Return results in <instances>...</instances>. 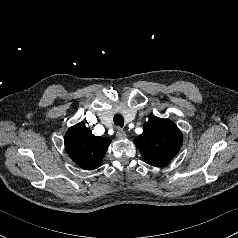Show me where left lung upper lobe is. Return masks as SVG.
I'll return each mask as SVG.
<instances>
[{"label":"left lung upper lobe","instance_id":"5c2ea615","mask_svg":"<svg viewBox=\"0 0 238 238\" xmlns=\"http://www.w3.org/2000/svg\"><path fill=\"white\" fill-rule=\"evenodd\" d=\"M182 142L178 127L171 120L156 116L144 124L143 133L134 140L144 161L156 167L166 166L177 155Z\"/></svg>","mask_w":238,"mask_h":238}]
</instances>
